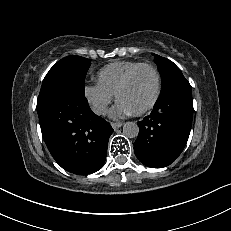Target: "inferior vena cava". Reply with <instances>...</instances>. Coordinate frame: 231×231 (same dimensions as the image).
I'll return each instance as SVG.
<instances>
[{
	"instance_id": "obj_1",
	"label": "inferior vena cava",
	"mask_w": 231,
	"mask_h": 231,
	"mask_svg": "<svg viewBox=\"0 0 231 231\" xmlns=\"http://www.w3.org/2000/svg\"><path fill=\"white\" fill-rule=\"evenodd\" d=\"M92 111L97 115H104L106 114L107 109L104 105L96 104V105H93Z\"/></svg>"
}]
</instances>
